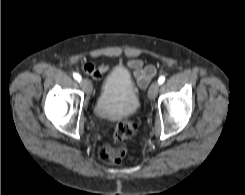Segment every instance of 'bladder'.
<instances>
[{
  "mask_svg": "<svg viewBox=\"0 0 245 195\" xmlns=\"http://www.w3.org/2000/svg\"><path fill=\"white\" fill-rule=\"evenodd\" d=\"M140 99L129 72L124 67L114 68L105 78L94 104L98 119L116 121L133 115Z\"/></svg>",
  "mask_w": 245,
  "mask_h": 195,
  "instance_id": "obj_1",
  "label": "bladder"
}]
</instances>
